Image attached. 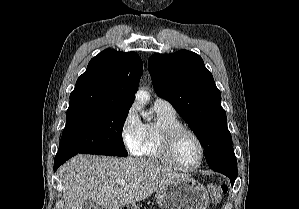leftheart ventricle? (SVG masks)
Listing matches in <instances>:
<instances>
[{"instance_id":"1","label":"left heart ventricle","mask_w":299,"mask_h":209,"mask_svg":"<svg viewBox=\"0 0 299 209\" xmlns=\"http://www.w3.org/2000/svg\"><path fill=\"white\" fill-rule=\"evenodd\" d=\"M201 157V150L195 138L189 134H182L176 142L175 158L185 166L196 165Z\"/></svg>"}]
</instances>
